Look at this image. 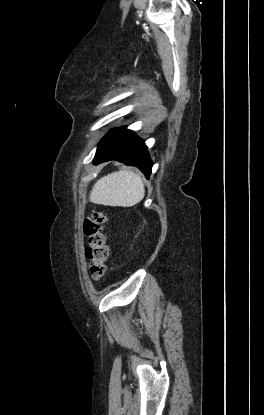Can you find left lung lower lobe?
<instances>
[{"label": "left lung lower lobe", "instance_id": "left-lung-lower-lobe-1", "mask_svg": "<svg viewBox=\"0 0 264 415\" xmlns=\"http://www.w3.org/2000/svg\"><path fill=\"white\" fill-rule=\"evenodd\" d=\"M117 160L138 167L149 178L152 169L147 147L133 131L121 127L110 131L98 144L94 163Z\"/></svg>", "mask_w": 264, "mask_h": 415}]
</instances>
